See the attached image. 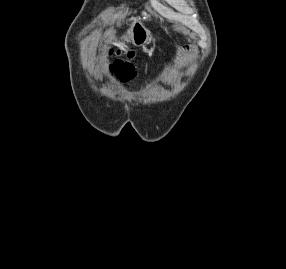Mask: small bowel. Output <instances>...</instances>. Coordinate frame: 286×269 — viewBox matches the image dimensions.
<instances>
[{
  "mask_svg": "<svg viewBox=\"0 0 286 269\" xmlns=\"http://www.w3.org/2000/svg\"><path fill=\"white\" fill-rule=\"evenodd\" d=\"M190 53H191V48L189 46L182 48L178 55V60H177L178 64L179 65L183 64V62L190 55Z\"/></svg>",
  "mask_w": 286,
  "mask_h": 269,
  "instance_id": "c3829d8e",
  "label": "small bowel"
}]
</instances>
